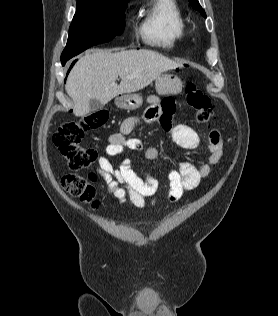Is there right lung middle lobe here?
Masks as SVG:
<instances>
[{
	"label": "right lung middle lobe",
	"mask_w": 278,
	"mask_h": 316,
	"mask_svg": "<svg viewBox=\"0 0 278 316\" xmlns=\"http://www.w3.org/2000/svg\"><path fill=\"white\" fill-rule=\"evenodd\" d=\"M128 1H77L61 61H67L93 45L108 42L116 35H121Z\"/></svg>",
	"instance_id": "obj_1"
}]
</instances>
